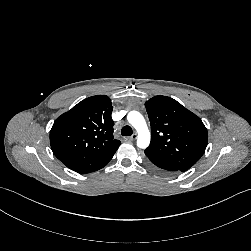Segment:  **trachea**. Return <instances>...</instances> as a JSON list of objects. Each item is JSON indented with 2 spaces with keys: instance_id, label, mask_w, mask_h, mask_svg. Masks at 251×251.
I'll return each mask as SVG.
<instances>
[{
  "instance_id": "trachea-1",
  "label": "trachea",
  "mask_w": 251,
  "mask_h": 251,
  "mask_svg": "<svg viewBox=\"0 0 251 251\" xmlns=\"http://www.w3.org/2000/svg\"><path fill=\"white\" fill-rule=\"evenodd\" d=\"M133 133V130L130 126L126 125L121 129L122 136H131Z\"/></svg>"
}]
</instances>
